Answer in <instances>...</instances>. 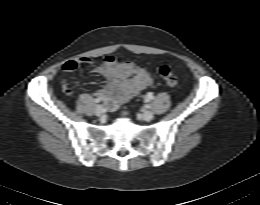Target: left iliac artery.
I'll list each match as a JSON object with an SVG mask.
<instances>
[{
	"instance_id": "44dca946",
	"label": "left iliac artery",
	"mask_w": 260,
	"mask_h": 205,
	"mask_svg": "<svg viewBox=\"0 0 260 205\" xmlns=\"http://www.w3.org/2000/svg\"><path fill=\"white\" fill-rule=\"evenodd\" d=\"M152 98H153L152 94H148L147 97H146V102H148V101H149L150 99H152ZM146 108H150V105L147 104V105H146Z\"/></svg>"
}]
</instances>
